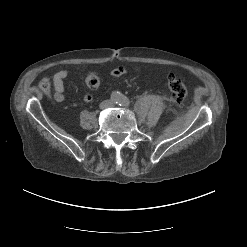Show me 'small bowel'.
Segmentation results:
<instances>
[{"mask_svg": "<svg viewBox=\"0 0 247 247\" xmlns=\"http://www.w3.org/2000/svg\"><path fill=\"white\" fill-rule=\"evenodd\" d=\"M125 69L123 67L116 68L112 71L111 75L113 78H118L125 74ZM69 77V72L67 70H60L56 72L53 76V85L55 89V100L61 102L64 100L65 91V80ZM85 102H91L93 96L90 93H85L83 96Z\"/></svg>", "mask_w": 247, "mask_h": 247, "instance_id": "obj_1", "label": "small bowel"}]
</instances>
